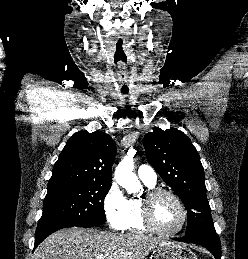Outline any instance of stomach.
<instances>
[{"mask_svg": "<svg viewBox=\"0 0 248 259\" xmlns=\"http://www.w3.org/2000/svg\"><path fill=\"white\" fill-rule=\"evenodd\" d=\"M150 259H197V256L189 248L167 243L153 250Z\"/></svg>", "mask_w": 248, "mask_h": 259, "instance_id": "obj_1", "label": "stomach"}]
</instances>
